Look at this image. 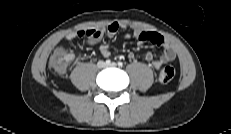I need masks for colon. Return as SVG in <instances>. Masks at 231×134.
<instances>
[{
	"label": "colon",
	"mask_w": 231,
	"mask_h": 134,
	"mask_svg": "<svg viewBox=\"0 0 231 134\" xmlns=\"http://www.w3.org/2000/svg\"><path fill=\"white\" fill-rule=\"evenodd\" d=\"M71 61L70 53L63 48H59L53 52L49 60V66L57 73H64ZM175 76V69L171 66L163 68L158 79L161 83H169Z\"/></svg>",
	"instance_id": "5ec220e1"
}]
</instances>
